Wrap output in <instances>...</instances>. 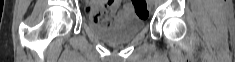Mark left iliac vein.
Here are the masks:
<instances>
[{"instance_id":"obj_1","label":"left iliac vein","mask_w":235,"mask_h":62,"mask_svg":"<svg viewBox=\"0 0 235 62\" xmlns=\"http://www.w3.org/2000/svg\"><path fill=\"white\" fill-rule=\"evenodd\" d=\"M149 6H150V7H152V6H153L152 0H150V2H149Z\"/></svg>"}]
</instances>
